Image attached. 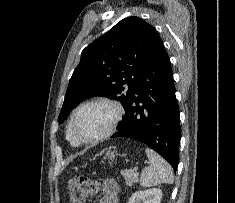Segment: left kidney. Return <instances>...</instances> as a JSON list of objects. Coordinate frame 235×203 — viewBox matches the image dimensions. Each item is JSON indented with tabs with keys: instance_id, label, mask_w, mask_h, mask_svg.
<instances>
[{
	"instance_id": "5707ae66",
	"label": "left kidney",
	"mask_w": 235,
	"mask_h": 203,
	"mask_svg": "<svg viewBox=\"0 0 235 203\" xmlns=\"http://www.w3.org/2000/svg\"><path fill=\"white\" fill-rule=\"evenodd\" d=\"M162 190L152 188L143 191H136L129 199L128 203H160Z\"/></svg>"
}]
</instances>
